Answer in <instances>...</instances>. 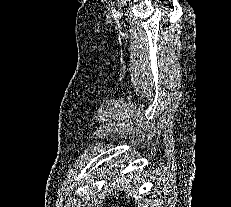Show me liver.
<instances>
[{
  "mask_svg": "<svg viewBox=\"0 0 231 207\" xmlns=\"http://www.w3.org/2000/svg\"><path fill=\"white\" fill-rule=\"evenodd\" d=\"M117 162L118 160L115 161V163ZM107 173L112 177L110 188L115 190V194L118 193L119 190L124 191L126 193L125 198L127 199V203H129V196L132 194L134 196L136 189H140L143 183L140 179V174H136L135 172L134 175L129 174L128 176H125L122 173H117L116 169L113 172L107 171Z\"/></svg>",
  "mask_w": 231,
  "mask_h": 207,
  "instance_id": "obj_1",
  "label": "liver"
}]
</instances>
